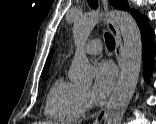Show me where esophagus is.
Masks as SVG:
<instances>
[{
  "label": "esophagus",
  "mask_w": 156,
  "mask_h": 124,
  "mask_svg": "<svg viewBox=\"0 0 156 124\" xmlns=\"http://www.w3.org/2000/svg\"><path fill=\"white\" fill-rule=\"evenodd\" d=\"M102 3H103L104 10L106 12L105 23H106L108 29L110 30V32L112 33V35L115 39V43H116L115 56H116V60H117L118 66H119V78H118V81L116 83L113 94L109 98L108 102L104 105V107L99 111V113L97 114L93 124H102V122L104 121V119L107 115V112L110 109V106H111V103L113 101L115 92L118 88L120 76L122 74V69H123V42H122L121 34H120L119 28L116 25L114 19L110 16L108 1L102 0Z\"/></svg>",
  "instance_id": "34e87169"
}]
</instances>
